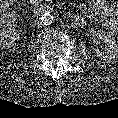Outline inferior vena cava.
Returning <instances> with one entry per match:
<instances>
[{
    "label": "inferior vena cava",
    "instance_id": "1",
    "mask_svg": "<svg viewBox=\"0 0 118 118\" xmlns=\"http://www.w3.org/2000/svg\"><path fill=\"white\" fill-rule=\"evenodd\" d=\"M35 22H36L37 26H40L41 25V20H37Z\"/></svg>",
    "mask_w": 118,
    "mask_h": 118
}]
</instances>
